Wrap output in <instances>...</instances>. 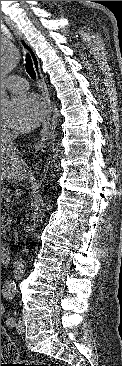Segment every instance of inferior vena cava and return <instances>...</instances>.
<instances>
[{
  "mask_svg": "<svg viewBox=\"0 0 122 366\" xmlns=\"http://www.w3.org/2000/svg\"><path fill=\"white\" fill-rule=\"evenodd\" d=\"M14 139L13 136H6L2 139V143H4L8 147H13L12 140Z\"/></svg>",
  "mask_w": 122,
  "mask_h": 366,
  "instance_id": "inferior-vena-cava-1",
  "label": "inferior vena cava"
}]
</instances>
